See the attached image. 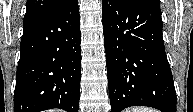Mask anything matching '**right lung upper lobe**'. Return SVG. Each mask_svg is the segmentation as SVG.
<instances>
[{
    "label": "right lung upper lobe",
    "instance_id": "right-lung-upper-lobe-1",
    "mask_svg": "<svg viewBox=\"0 0 193 112\" xmlns=\"http://www.w3.org/2000/svg\"><path fill=\"white\" fill-rule=\"evenodd\" d=\"M64 1L66 0H27V9L23 22L35 19L54 10Z\"/></svg>",
    "mask_w": 193,
    "mask_h": 112
}]
</instances>
